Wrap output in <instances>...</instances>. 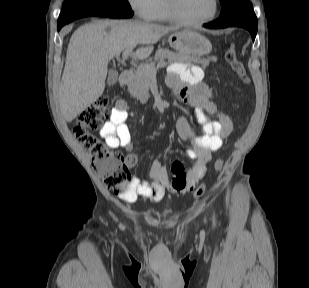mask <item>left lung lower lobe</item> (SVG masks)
<instances>
[{"mask_svg": "<svg viewBox=\"0 0 309 288\" xmlns=\"http://www.w3.org/2000/svg\"><path fill=\"white\" fill-rule=\"evenodd\" d=\"M230 26H239L247 29L252 36V40H255L257 33V18L252 9L243 11L229 18L218 19L214 22L204 24L205 28L210 29L227 28Z\"/></svg>", "mask_w": 309, "mask_h": 288, "instance_id": "0a47b994", "label": "left lung lower lobe"}]
</instances>
